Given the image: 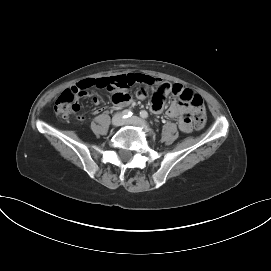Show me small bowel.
<instances>
[{
    "instance_id": "small-bowel-1",
    "label": "small bowel",
    "mask_w": 271,
    "mask_h": 271,
    "mask_svg": "<svg viewBox=\"0 0 271 271\" xmlns=\"http://www.w3.org/2000/svg\"><path fill=\"white\" fill-rule=\"evenodd\" d=\"M96 83L99 89H107L112 93V101L118 107H124L132 103V97L127 92L129 87L138 85L136 96L141 100L147 97L150 87H156L158 91L150 103V109L154 113H161L163 111L166 95H174L176 99L167 109V116L178 119L179 128L182 132L190 133L193 129L190 114L193 113L195 115L196 109L180 100L184 94L192 92L181 84L167 83L159 78L143 73H125L112 77L86 79L77 85H96ZM93 102L98 105L101 102V97L98 94H94Z\"/></svg>"
}]
</instances>
